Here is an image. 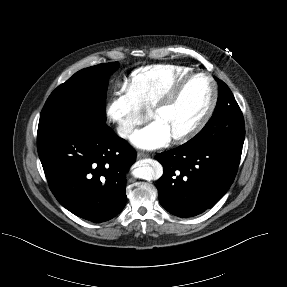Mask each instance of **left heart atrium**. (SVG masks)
Instances as JSON below:
<instances>
[{"label":"left heart atrium","mask_w":287,"mask_h":287,"mask_svg":"<svg viewBox=\"0 0 287 287\" xmlns=\"http://www.w3.org/2000/svg\"><path fill=\"white\" fill-rule=\"evenodd\" d=\"M171 136L170 131L162 122L154 120L136 131L131 140L137 147L150 150L165 146Z\"/></svg>","instance_id":"39dd6f15"}]
</instances>
